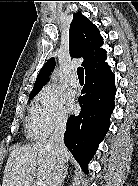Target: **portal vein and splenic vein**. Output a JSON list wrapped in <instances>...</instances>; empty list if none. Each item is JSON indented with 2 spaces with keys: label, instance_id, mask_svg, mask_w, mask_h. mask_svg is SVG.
I'll return each instance as SVG.
<instances>
[{
  "label": "portal vein and splenic vein",
  "instance_id": "obj_1",
  "mask_svg": "<svg viewBox=\"0 0 138 186\" xmlns=\"http://www.w3.org/2000/svg\"><path fill=\"white\" fill-rule=\"evenodd\" d=\"M35 186H44L41 181H37Z\"/></svg>",
  "mask_w": 138,
  "mask_h": 186
}]
</instances>
